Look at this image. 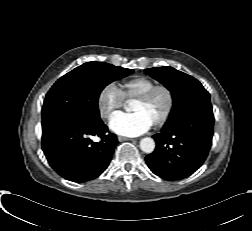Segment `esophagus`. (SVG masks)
I'll return each instance as SVG.
<instances>
[{"instance_id":"esophagus-1","label":"esophagus","mask_w":252,"mask_h":231,"mask_svg":"<svg viewBox=\"0 0 252 231\" xmlns=\"http://www.w3.org/2000/svg\"><path fill=\"white\" fill-rule=\"evenodd\" d=\"M118 140L120 142H123V141H135L134 138L124 137V136H118Z\"/></svg>"}]
</instances>
